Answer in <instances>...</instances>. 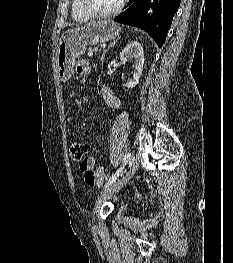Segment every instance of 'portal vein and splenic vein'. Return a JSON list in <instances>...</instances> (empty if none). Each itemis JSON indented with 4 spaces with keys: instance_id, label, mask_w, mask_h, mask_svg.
Here are the masks:
<instances>
[{
    "instance_id": "18ae733b",
    "label": "portal vein and splenic vein",
    "mask_w": 233,
    "mask_h": 263,
    "mask_svg": "<svg viewBox=\"0 0 233 263\" xmlns=\"http://www.w3.org/2000/svg\"><path fill=\"white\" fill-rule=\"evenodd\" d=\"M92 55H93V52H89V53H88V56H92Z\"/></svg>"
}]
</instances>
